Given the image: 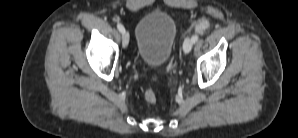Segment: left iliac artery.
I'll return each instance as SVG.
<instances>
[{
	"label": "left iliac artery",
	"instance_id": "left-iliac-artery-1",
	"mask_svg": "<svg viewBox=\"0 0 298 138\" xmlns=\"http://www.w3.org/2000/svg\"><path fill=\"white\" fill-rule=\"evenodd\" d=\"M198 37H199L198 34H195V35L193 36V39L196 40V39H198Z\"/></svg>",
	"mask_w": 298,
	"mask_h": 138
}]
</instances>
